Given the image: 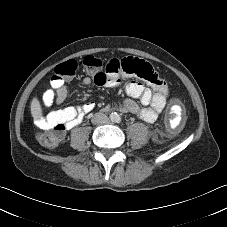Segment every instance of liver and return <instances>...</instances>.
<instances>
[{
  "label": "liver",
  "mask_w": 227,
  "mask_h": 227,
  "mask_svg": "<svg viewBox=\"0 0 227 227\" xmlns=\"http://www.w3.org/2000/svg\"><path fill=\"white\" fill-rule=\"evenodd\" d=\"M30 108H31V114L33 118L37 119L42 116V108L39 100L36 97L32 99Z\"/></svg>",
  "instance_id": "6515ba94"
}]
</instances>
